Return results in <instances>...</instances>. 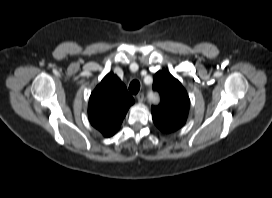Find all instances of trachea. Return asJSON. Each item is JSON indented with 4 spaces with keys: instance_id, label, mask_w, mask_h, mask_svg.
Listing matches in <instances>:
<instances>
[{
    "instance_id": "trachea-1",
    "label": "trachea",
    "mask_w": 272,
    "mask_h": 198,
    "mask_svg": "<svg viewBox=\"0 0 272 198\" xmlns=\"http://www.w3.org/2000/svg\"><path fill=\"white\" fill-rule=\"evenodd\" d=\"M140 90V83L138 80H133L129 85V91L131 94H137Z\"/></svg>"
}]
</instances>
